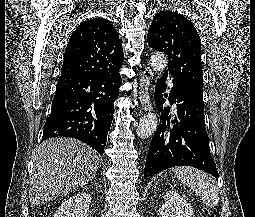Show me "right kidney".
Returning a JSON list of instances; mask_svg holds the SVG:
<instances>
[{
  "mask_svg": "<svg viewBox=\"0 0 255 217\" xmlns=\"http://www.w3.org/2000/svg\"><path fill=\"white\" fill-rule=\"evenodd\" d=\"M91 196L86 192H79L64 200L54 217H89Z\"/></svg>",
  "mask_w": 255,
  "mask_h": 217,
  "instance_id": "1",
  "label": "right kidney"
}]
</instances>
